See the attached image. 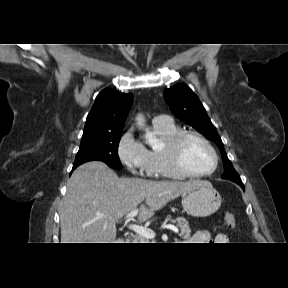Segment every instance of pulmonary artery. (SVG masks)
<instances>
[{
  "label": "pulmonary artery",
  "mask_w": 288,
  "mask_h": 288,
  "mask_svg": "<svg viewBox=\"0 0 288 288\" xmlns=\"http://www.w3.org/2000/svg\"><path fill=\"white\" fill-rule=\"evenodd\" d=\"M172 120L168 115H158L154 118L153 123H159V124H169Z\"/></svg>",
  "instance_id": "pulmonary-artery-1"
}]
</instances>
